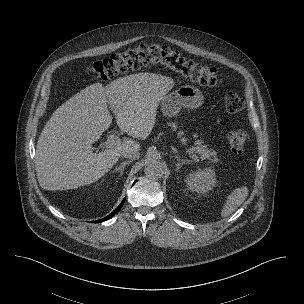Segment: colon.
<instances>
[{
	"instance_id": "1",
	"label": "colon",
	"mask_w": 304,
	"mask_h": 304,
	"mask_svg": "<svg viewBox=\"0 0 304 304\" xmlns=\"http://www.w3.org/2000/svg\"><path fill=\"white\" fill-rule=\"evenodd\" d=\"M162 65L180 74L182 77L202 86H217L222 80L216 69L202 66L182 57L178 52L159 44H142L123 53L95 62L85 70L86 79L109 80L117 75L149 65ZM245 103L237 93L225 97V110L235 114L244 109ZM227 143L231 151L240 154L244 151L248 135L243 129L227 134Z\"/></svg>"
}]
</instances>
